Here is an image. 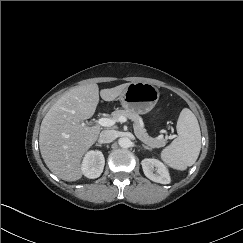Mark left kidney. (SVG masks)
<instances>
[{
  "mask_svg": "<svg viewBox=\"0 0 243 243\" xmlns=\"http://www.w3.org/2000/svg\"><path fill=\"white\" fill-rule=\"evenodd\" d=\"M143 172L150 180L161 183H170V176L166 166L157 159L146 158L141 162Z\"/></svg>",
  "mask_w": 243,
  "mask_h": 243,
  "instance_id": "obj_1",
  "label": "left kidney"
}]
</instances>
